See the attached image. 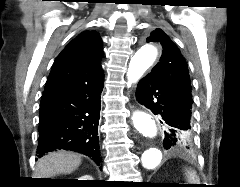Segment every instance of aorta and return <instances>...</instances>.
Returning <instances> with one entry per match:
<instances>
[{
    "label": "aorta",
    "instance_id": "aorta-1",
    "mask_svg": "<svg viewBox=\"0 0 240 187\" xmlns=\"http://www.w3.org/2000/svg\"><path fill=\"white\" fill-rule=\"evenodd\" d=\"M158 51L153 45H145L133 56L130 61L127 78L129 82H137L145 71L156 60ZM136 130L146 138L157 136V127L150 114L135 112L132 116ZM162 160V151L158 147H148L141 155L142 166L145 169L156 168Z\"/></svg>",
    "mask_w": 240,
    "mask_h": 187
}]
</instances>
